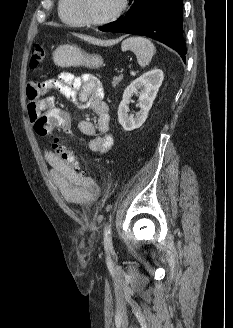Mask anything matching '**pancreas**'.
Segmentation results:
<instances>
[{
	"label": "pancreas",
	"instance_id": "1",
	"mask_svg": "<svg viewBox=\"0 0 233 328\" xmlns=\"http://www.w3.org/2000/svg\"><path fill=\"white\" fill-rule=\"evenodd\" d=\"M123 79V75H119L117 77H114L113 78V81H112V86L113 87H116L117 84H119Z\"/></svg>",
	"mask_w": 233,
	"mask_h": 328
}]
</instances>
